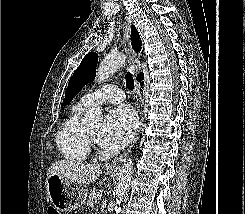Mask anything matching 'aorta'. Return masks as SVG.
I'll return each instance as SVG.
<instances>
[{"mask_svg": "<svg viewBox=\"0 0 245 214\" xmlns=\"http://www.w3.org/2000/svg\"><path fill=\"white\" fill-rule=\"evenodd\" d=\"M125 63V56L121 53L112 54L107 56L99 65L96 73L95 80L97 83H102L108 79L112 74H114L118 69H120ZM102 121L101 110L97 107L91 108L85 115L84 122L92 127H99ZM132 168L133 162L128 159L123 164L115 186L114 193L116 194V212L120 210V203L127 193L131 178H132Z\"/></svg>", "mask_w": 245, "mask_h": 214, "instance_id": "1", "label": "aorta"}]
</instances>
